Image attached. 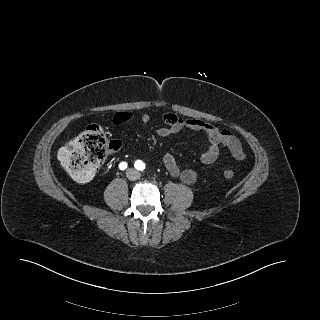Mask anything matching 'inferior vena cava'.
Wrapping results in <instances>:
<instances>
[{
  "mask_svg": "<svg viewBox=\"0 0 320 320\" xmlns=\"http://www.w3.org/2000/svg\"><path fill=\"white\" fill-rule=\"evenodd\" d=\"M139 177H140L139 172H137L136 170H129V172H128L129 179H138Z\"/></svg>",
  "mask_w": 320,
  "mask_h": 320,
  "instance_id": "inferior-vena-cava-1",
  "label": "inferior vena cava"
}]
</instances>
